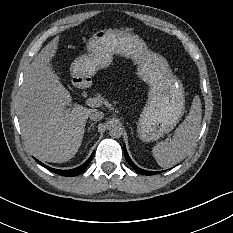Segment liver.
I'll use <instances>...</instances> for the list:
<instances>
[{
    "instance_id": "6515ba94",
    "label": "liver",
    "mask_w": 233,
    "mask_h": 233,
    "mask_svg": "<svg viewBox=\"0 0 233 233\" xmlns=\"http://www.w3.org/2000/svg\"><path fill=\"white\" fill-rule=\"evenodd\" d=\"M59 36L50 41L28 66L18 99L22 136L33 156L62 163L81 146L86 120L94 109L72 104V96L49 66Z\"/></svg>"
}]
</instances>
